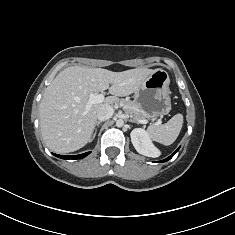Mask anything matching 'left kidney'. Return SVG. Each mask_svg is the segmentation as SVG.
<instances>
[{
  "mask_svg": "<svg viewBox=\"0 0 235 235\" xmlns=\"http://www.w3.org/2000/svg\"><path fill=\"white\" fill-rule=\"evenodd\" d=\"M131 142L136 151L144 156L156 158L160 151L154 146L147 131L142 128H135L131 131Z\"/></svg>",
  "mask_w": 235,
  "mask_h": 235,
  "instance_id": "obj_1",
  "label": "left kidney"
}]
</instances>
